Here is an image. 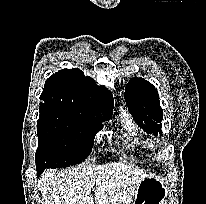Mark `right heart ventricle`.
I'll return each instance as SVG.
<instances>
[{"mask_svg":"<svg viewBox=\"0 0 206 204\" xmlns=\"http://www.w3.org/2000/svg\"><path fill=\"white\" fill-rule=\"evenodd\" d=\"M121 124L124 142L130 150L141 153L153 151L152 142L141 133L132 118L125 112L121 114Z\"/></svg>","mask_w":206,"mask_h":204,"instance_id":"right-heart-ventricle-1","label":"right heart ventricle"}]
</instances>
